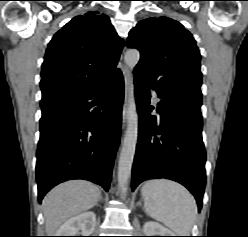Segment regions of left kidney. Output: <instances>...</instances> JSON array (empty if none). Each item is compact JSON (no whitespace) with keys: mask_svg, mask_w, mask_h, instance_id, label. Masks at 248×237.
Here are the masks:
<instances>
[{"mask_svg":"<svg viewBox=\"0 0 248 237\" xmlns=\"http://www.w3.org/2000/svg\"><path fill=\"white\" fill-rule=\"evenodd\" d=\"M145 236H175V234L157 222H146L143 226Z\"/></svg>","mask_w":248,"mask_h":237,"instance_id":"5707ae66","label":"left kidney"}]
</instances>
